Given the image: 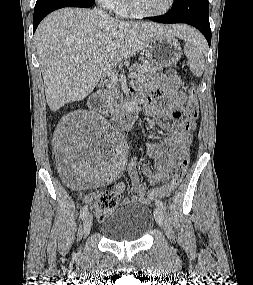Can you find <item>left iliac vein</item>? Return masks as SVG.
<instances>
[{"mask_svg": "<svg viewBox=\"0 0 253 285\" xmlns=\"http://www.w3.org/2000/svg\"><path fill=\"white\" fill-rule=\"evenodd\" d=\"M154 217L159 226L163 227L164 214L163 210L158 206L154 210Z\"/></svg>", "mask_w": 253, "mask_h": 285, "instance_id": "left-iliac-vein-1", "label": "left iliac vein"}]
</instances>
